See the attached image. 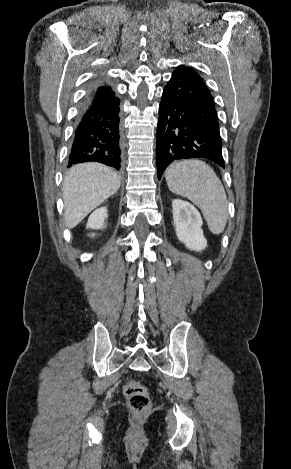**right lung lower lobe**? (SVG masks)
Listing matches in <instances>:
<instances>
[{"mask_svg": "<svg viewBox=\"0 0 291 469\" xmlns=\"http://www.w3.org/2000/svg\"><path fill=\"white\" fill-rule=\"evenodd\" d=\"M120 100L109 86L93 83L85 96L72 137L68 166L100 162L120 170L122 126Z\"/></svg>", "mask_w": 291, "mask_h": 469, "instance_id": "obj_1", "label": "right lung lower lobe"}]
</instances>
